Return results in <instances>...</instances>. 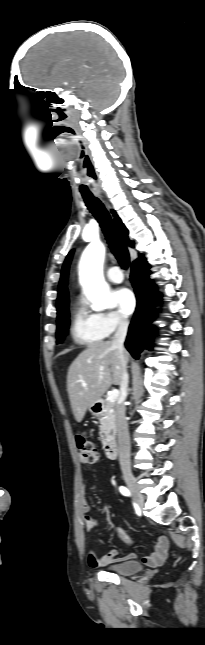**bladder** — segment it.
<instances>
[{
	"instance_id": "31cf9c89",
	"label": "bladder",
	"mask_w": 205,
	"mask_h": 645,
	"mask_svg": "<svg viewBox=\"0 0 205 645\" xmlns=\"http://www.w3.org/2000/svg\"><path fill=\"white\" fill-rule=\"evenodd\" d=\"M107 570L118 575L130 576L139 573L142 570V564L135 560H125L109 565Z\"/></svg>"
}]
</instances>
